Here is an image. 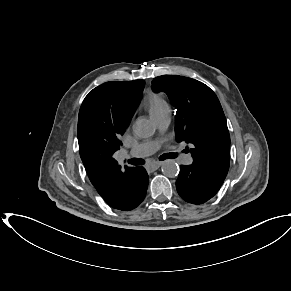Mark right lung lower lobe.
<instances>
[{"instance_id":"98d812e1","label":"right lung lower lobe","mask_w":291,"mask_h":291,"mask_svg":"<svg viewBox=\"0 0 291 291\" xmlns=\"http://www.w3.org/2000/svg\"><path fill=\"white\" fill-rule=\"evenodd\" d=\"M149 177L143 167L130 168L125 175V195L117 203H108L114 209L129 211L135 209L144 200Z\"/></svg>"}]
</instances>
